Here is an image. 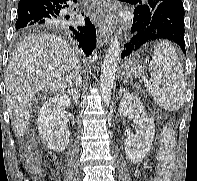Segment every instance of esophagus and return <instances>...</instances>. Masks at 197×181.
<instances>
[{"label": "esophagus", "instance_id": "obj_1", "mask_svg": "<svg viewBox=\"0 0 197 181\" xmlns=\"http://www.w3.org/2000/svg\"><path fill=\"white\" fill-rule=\"evenodd\" d=\"M98 28L104 43H108L114 30L116 17L112 14L111 0H102Z\"/></svg>", "mask_w": 197, "mask_h": 181}]
</instances>
